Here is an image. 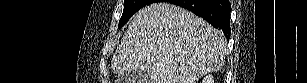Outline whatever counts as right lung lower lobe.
<instances>
[{
    "label": "right lung lower lobe",
    "instance_id": "obj_1",
    "mask_svg": "<svg viewBox=\"0 0 307 83\" xmlns=\"http://www.w3.org/2000/svg\"><path fill=\"white\" fill-rule=\"evenodd\" d=\"M183 7L202 17L215 28H220L227 39L230 36V3L229 0H165ZM162 2V0H154Z\"/></svg>",
    "mask_w": 307,
    "mask_h": 83
}]
</instances>
